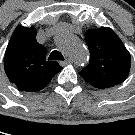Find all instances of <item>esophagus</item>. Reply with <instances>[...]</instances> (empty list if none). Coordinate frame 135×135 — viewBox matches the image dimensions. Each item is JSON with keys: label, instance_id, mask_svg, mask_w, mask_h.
I'll return each instance as SVG.
<instances>
[{"label": "esophagus", "instance_id": "esophagus-1", "mask_svg": "<svg viewBox=\"0 0 135 135\" xmlns=\"http://www.w3.org/2000/svg\"><path fill=\"white\" fill-rule=\"evenodd\" d=\"M71 62H72L71 59L68 58L65 61H60L59 63H60V65L64 66V65L69 64Z\"/></svg>", "mask_w": 135, "mask_h": 135}]
</instances>
